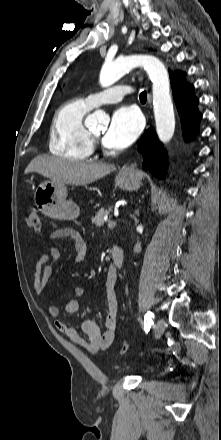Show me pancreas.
<instances>
[{"label": "pancreas", "instance_id": "obj_1", "mask_svg": "<svg viewBox=\"0 0 221 440\" xmlns=\"http://www.w3.org/2000/svg\"><path fill=\"white\" fill-rule=\"evenodd\" d=\"M111 211H112V207H110L108 209H105V208L100 209L95 214V216L91 219L92 224H95L98 227L103 226L105 223L104 217L109 215Z\"/></svg>", "mask_w": 221, "mask_h": 440}]
</instances>
